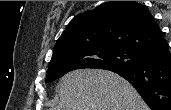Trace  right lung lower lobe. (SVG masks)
<instances>
[{"label": "right lung lower lobe", "instance_id": "obj_1", "mask_svg": "<svg viewBox=\"0 0 171 110\" xmlns=\"http://www.w3.org/2000/svg\"><path fill=\"white\" fill-rule=\"evenodd\" d=\"M137 64L110 69L128 80L151 110H171V53L166 41L140 53Z\"/></svg>", "mask_w": 171, "mask_h": 110}]
</instances>
